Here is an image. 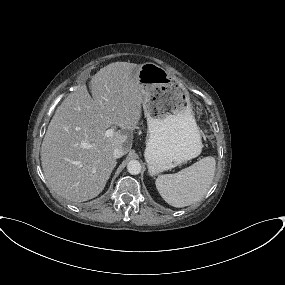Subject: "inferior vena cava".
<instances>
[{"mask_svg":"<svg viewBox=\"0 0 285 285\" xmlns=\"http://www.w3.org/2000/svg\"><path fill=\"white\" fill-rule=\"evenodd\" d=\"M125 154V151L122 147H117L114 149L113 156L115 159L122 157Z\"/></svg>","mask_w":285,"mask_h":285,"instance_id":"obj_1","label":"inferior vena cava"}]
</instances>
